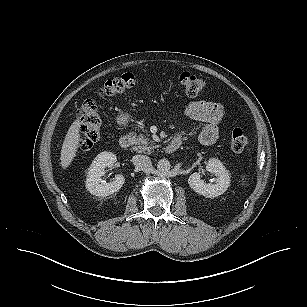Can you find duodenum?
<instances>
[{
  "label": "duodenum",
  "mask_w": 307,
  "mask_h": 307,
  "mask_svg": "<svg viewBox=\"0 0 307 307\" xmlns=\"http://www.w3.org/2000/svg\"><path fill=\"white\" fill-rule=\"evenodd\" d=\"M132 142L133 139L130 136H122L119 140V145L122 149H127L131 146ZM181 144H182L181 139L179 138L172 139L166 147V152L168 154L176 152L180 148Z\"/></svg>",
  "instance_id": "410a0bca"
}]
</instances>
